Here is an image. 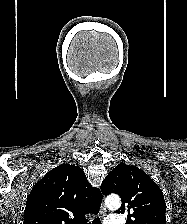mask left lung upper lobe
<instances>
[{
  "mask_svg": "<svg viewBox=\"0 0 187 224\" xmlns=\"http://www.w3.org/2000/svg\"><path fill=\"white\" fill-rule=\"evenodd\" d=\"M101 191L121 197L122 205L116 213H128L126 224H166L162 190L138 167L118 164L103 180Z\"/></svg>",
  "mask_w": 187,
  "mask_h": 224,
  "instance_id": "5c2ea615",
  "label": "left lung upper lobe"
}]
</instances>
